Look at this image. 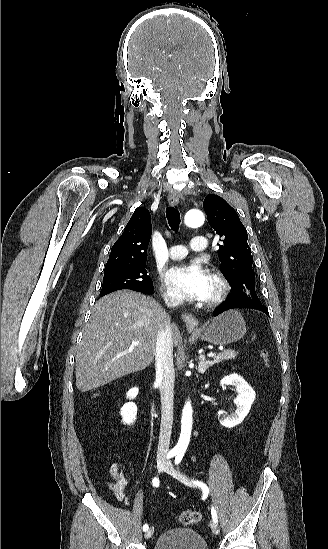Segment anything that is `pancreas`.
I'll use <instances>...</instances> for the list:
<instances>
[{
    "label": "pancreas",
    "instance_id": "1",
    "mask_svg": "<svg viewBox=\"0 0 328 549\" xmlns=\"http://www.w3.org/2000/svg\"><path fill=\"white\" fill-rule=\"evenodd\" d=\"M238 357L237 351L232 349H226L223 353H218L217 357H214L213 363H221V361H229V359H236Z\"/></svg>",
    "mask_w": 328,
    "mask_h": 549
}]
</instances>
